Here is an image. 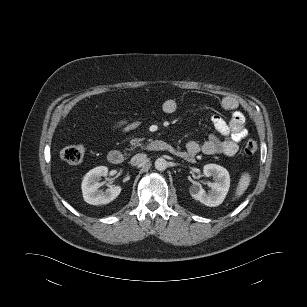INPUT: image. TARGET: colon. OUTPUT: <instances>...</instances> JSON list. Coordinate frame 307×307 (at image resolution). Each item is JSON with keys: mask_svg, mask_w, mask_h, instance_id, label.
<instances>
[{"mask_svg": "<svg viewBox=\"0 0 307 307\" xmlns=\"http://www.w3.org/2000/svg\"><path fill=\"white\" fill-rule=\"evenodd\" d=\"M258 144L254 139H249L244 146V152L252 156L257 152ZM60 156L68 164H78L84 157V150L81 146L70 145L62 149Z\"/></svg>", "mask_w": 307, "mask_h": 307, "instance_id": "colon-1", "label": "colon"}]
</instances>
